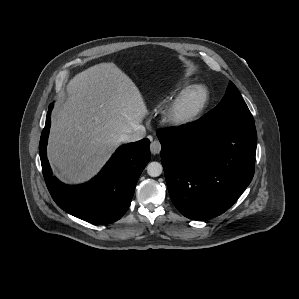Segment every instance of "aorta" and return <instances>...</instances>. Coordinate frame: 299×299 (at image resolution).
<instances>
[{"label": "aorta", "instance_id": "obj_1", "mask_svg": "<svg viewBox=\"0 0 299 299\" xmlns=\"http://www.w3.org/2000/svg\"><path fill=\"white\" fill-rule=\"evenodd\" d=\"M163 167L159 162H151L147 165V173L151 177H158L161 175Z\"/></svg>", "mask_w": 299, "mask_h": 299}]
</instances>
